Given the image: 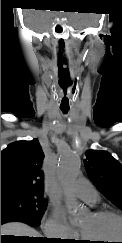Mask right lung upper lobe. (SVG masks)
<instances>
[{"label": "right lung upper lobe", "mask_w": 122, "mask_h": 243, "mask_svg": "<svg viewBox=\"0 0 122 243\" xmlns=\"http://www.w3.org/2000/svg\"><path fill=\"white\" fill-rule=\"evenodd\" d=\"M44 153L37 139L17 141L1 151V197L43 193Z\"/></svg>", "instance_id": "right-lung-upper-lobe-1"}]
</instances>
